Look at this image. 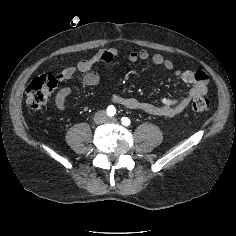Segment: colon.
Segmentation results:
<instances>
[{"label":"colon","mask_w":236,"mask_h":236,"mask_svg":"<svg viewBox=\"0 0 236 236\" xmlns=\"http://www.w3.org/2000/svg\"><path fill=\"white\" fill-rule=\"evenodd\" d=\"M61 81V74L44 73L34 78L26 89L28 106L34 110L41 109ZM191 109L196 113H208L210 109L209 100L206 97L199 96L193 100Z\"/></svg>","instance_id":"colon-1"}]
</instances>
